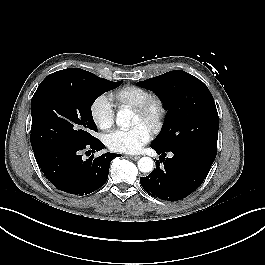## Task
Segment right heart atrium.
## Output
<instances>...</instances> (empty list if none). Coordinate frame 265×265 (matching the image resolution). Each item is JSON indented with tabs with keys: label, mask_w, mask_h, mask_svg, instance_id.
Returning <instances> with one entry per match:
<instances>
[{
	"label": "right heart atrium",
	"mask_w": 265,
	"mask_h": 265,
	"mask_svg": "<svg viewBox=\"0 0 265 265\" xmlns=\"http://www.w3.org/2000/svg\"><path fill=\"white\" fill-rule=\"evenodd\" d=\"M90 116L99 129H110L115 121V112L111 100L106 95L98 96L90 105Z\"/></svg>",
	"instance_id": "d8ad5b80"
}]
</instances>
